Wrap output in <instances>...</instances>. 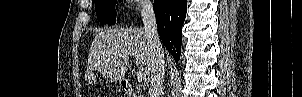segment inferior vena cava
I'll use <instances>...</instances> for the list:
<instances>
[{"mask_svg": "<svg viewBox=\"0 0 302 97\" xmlns=\"http://www.w3.org/2000/svg\"><path fill=\"white\" fill-rule=\"evenodd\" d=\"M141 16L143 20L144 30L152 48V62L150 68V87L148 91L149 97H160L165 73L164 50L159 39L156 17L153 5L146 2L143 5Z\"/></svg>", "mask_w": 302, "mask_h": 97, "instance_id": "1", "label": "inferior vena cava"}]
</instances>
